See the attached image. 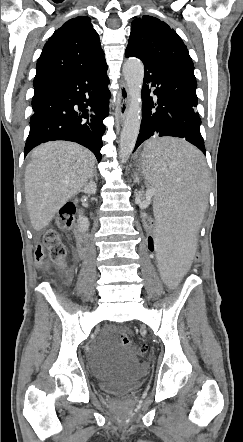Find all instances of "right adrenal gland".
<instances>
[{
    "mask_svg": "<svg viewBox=\"0 0 243 442\" xmlns=\"http://www.w3.org/2000/svg\"><path fill=\"white\" fill-rule=\"evenodd\" d=\"M93 177H95V179L97 180V173H96V170H94V173H93V175L91 176V182H92Z\"/></svg>",
    "mask_w": 243,
    "mask_h": 442,
    "instance_id": "obj_1",
    "label": "right adrenal gland"
}]
</instances>
